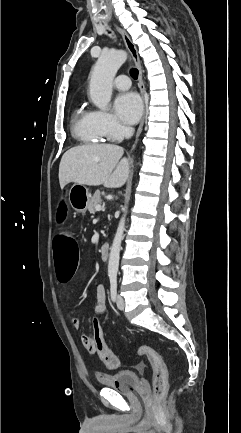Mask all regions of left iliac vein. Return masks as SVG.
<instances>
[{"instance_id":"1","label":"left iliac vein","mask_w":241,"mask_h":433,"mask_svg":"<svg viewBox=\"0 0 241 433\" xmlns=\"http://www.w3.org/2000/svg\"><path fill=\"white\" fill-rule=\"evenodd\" d=\"M116 303H117V307H118L120 310H123V309H124V307H125V302H124V298H123L121 295H117Z\"/></svg>"}]
</instances>
